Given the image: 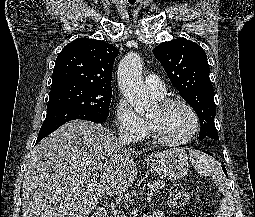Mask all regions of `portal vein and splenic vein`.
I'll use <instances>...</instances> for the list:
<instances>
[{"label": "portal vein and splenic vein", "instance_id": "1", "mask_svg": "<svg viewBox=\"0 0 255 217\" xmlns=\"http://www.w3.org/2000/svg\"><path fill=\"white\" fill-rule=\"evenodd\" d=\"M92 191H94V190H97L96 188L94 189H91ZM152 198H153V192L152 191H150L149 192V194H148V197H147V202H150L151 200H152Z\"/></svg>", "mask_w": 255, "mask_h": 217}]
</instances>
